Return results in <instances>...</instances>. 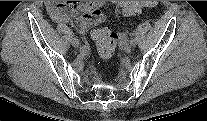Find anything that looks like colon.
Here are the masks:
<instances>
[{
	"instance_id": "obj_1",
	"label": "colon",
	"mask_w": 207,
	"mask_h": 121,
	"mask_svg": "<svg viewBox=\"0 0 207 121\" xmlns=\"http://www.w3.org/2000/svg\"><path fill=\"white\" fill-rule=\"evenodd\" d=\"M155 1H127L120 5L124 14L133 15L144 7H153ZM91 37L96 45L99 55L104 59L113 56L118 35L108 27L96 28L92 31Z\"/></svg>"
}]
</instances>
